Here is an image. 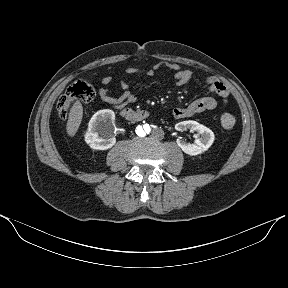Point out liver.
<instances>
[{
  "mask_svg": "<svg viewBox=\"0 0 288 288\" xmlns=\"http://www.w3.org/2000/svg\"><path fill=\"white\" fill-rule=\"evenodd\" d=\"M82 117H83V107L82 104L79 101H77L73 104L69 112V118L66 127L67 134L69 136L73 137L76 134L81 124Z\"/></svg>",
  "mask_w": 288,
  "mask_h": 288,
  "instance_id": "obj_1",
  "label": "liver"
}]
</instances>
